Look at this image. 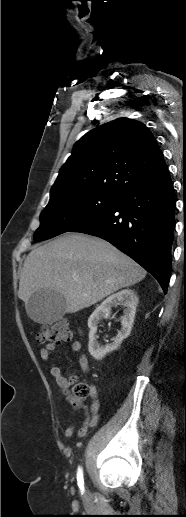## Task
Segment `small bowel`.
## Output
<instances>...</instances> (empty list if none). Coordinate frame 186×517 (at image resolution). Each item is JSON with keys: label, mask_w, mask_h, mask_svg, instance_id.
I'll return each mask as SVG.
<instances>
[{"label": "small bowel", "mask_w": 186, "mask_h": 517, "mask_svg": "<svg viewBox=\"0 0 186 517\" xmlns=\"http://www.w3.org/2000/svg\"><path fill=\"white\" fill-rule=\"evenodd\" d=\"M55 348H56V345L52 344V343L47 344L44 347H42L39 350V356H40L41 360L44 362H48L50 359V354ZM71 349H72V351H74L76 353H80L81 343L79 341H72ZM78 362H79L81 371L86 374L89 370V362H88L87 356L81 353L79 356ZM50 372H51V375L53 376V378L55 379L57 385L59 386L61 392L65 396L70 398L69 393H68L69 382L66 379V377L63 375L62 370L57 365L53 364L50 367ZM92 390H93V395H96L95 388H92ZM71 402H72L73 411L84 410L85 418H84V421H83L81 427L78 429L77 434L81 438L85 437L88 429L96 426L98 423L100 405H99L98 401H95L91 405V407L88 409L79 400L71 399ZM74 431H75V424L72 423L65 429L64 434L67 438H71Z\"/></svg>", "instance_id": "1"}]
</instances>
